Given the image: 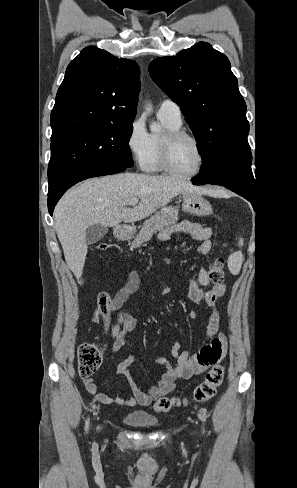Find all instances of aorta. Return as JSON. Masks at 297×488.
I'll return each mask as SVG.
<instances>
[{
    "mask_svg": "<svg viewBox=\"0 0 297 488\" xmlns=\"http://www.w3.org/2000/svg\"><path fill=\"white\" fill-rule=\"evenodd\" d=\"M151 109H152L151 105L146 106L147 111H150ZM150 130H151V132L158 133L161 131V125L159 123L152 122L150 125Z\"/></svg>",
    "mask_w": 297,
    "mask_h": 488,
    "instance_id": "aorta-1",
    "label": "aorta"
}]
</instances>
